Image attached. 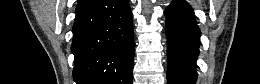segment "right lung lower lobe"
I'll return each mask as SVG.
<instances>
[{
	"label": "right lung lower lobe",
	"mask_w": 260,
	"mask_h": 84,
	"mask_svg": "<svg viewBox=\"0 0 260 84\" xmlns=\"http://www.w3.org/2000/svg\"><path fill=\"white\" fill-rule=\"evenodd\" d=\"M71 50L77 84H132L134 40L129 0H79Z\"/></svg>",
	"instance_id": "1"
}]
</instances>
